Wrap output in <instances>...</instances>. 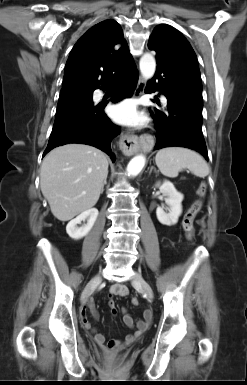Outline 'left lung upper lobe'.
<instances>
[{
	"label": "left lung upper lobe",
	"instance_id": "obj_1",
	"mask_svg": "<svg viewBox=\"0 0 247 385\" xmlns=\"http://www.w3.org/2000/svg\"><path fill=\"white\" fill-rule=\"evenodd\" d=\"M148 47L156 51V57L167 62L197 91L202 93L201 76L195 52L178 30L169 25L156 27L149 38Z\"/></svg>",
	"mask_w": 247,
	"mask_h": 385
}]
</instances>
